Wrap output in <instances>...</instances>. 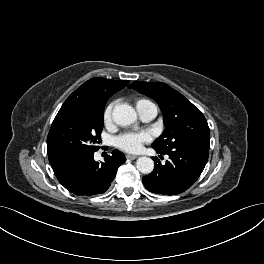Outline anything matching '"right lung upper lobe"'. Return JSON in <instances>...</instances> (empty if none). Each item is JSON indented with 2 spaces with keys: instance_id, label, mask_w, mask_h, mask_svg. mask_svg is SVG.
Here are the masks:
<instances>
[{
  "instance_id": "obj_1",
  "label": "right lung upper lobe",
  "mask_w": 264,
  "mask_h": 264,
  "mask_svg": "<svg viewBox=\"0 0 264 264\" xmlns=\"http://www.w3.org/2000/svg\"><path fill=\"white\" fill-rule=\"evenodd\" d=\"M129 81L105 78H92L77 88L66 101H75L101 106L117 91L128 85Z\"/></svg>"
}]
</instances>
